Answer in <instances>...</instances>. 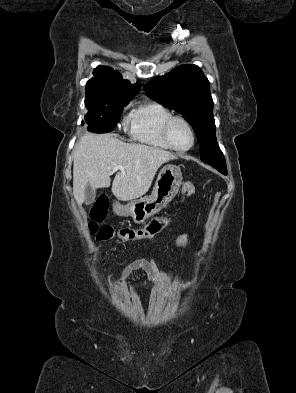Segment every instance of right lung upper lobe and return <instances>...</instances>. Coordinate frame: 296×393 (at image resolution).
Here are the masks:
<instances>
[{
    "instance_id": "cb5924a9",
    "label": "right lung upper lobe",
    "mask_w": 296,
    "mask_h": 393,
    "mask_svg": "<svg viewBox=\"0 0 296 393\" xmlns=\"http://www.w3.org/2000/svg\"><path fill=\"white\" fill-rule=\"evenodd\" d=\"M85 101H107L114 99L132 100L139 92L140 84H131L112 68L98 66L85 88Z\"/></svg>"
}]
</instances>
